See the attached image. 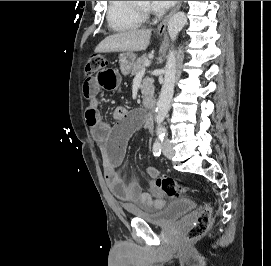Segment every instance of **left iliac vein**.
<instances>
[{
	"label": "left iliac vein",
	"mask_w": 271,
	"mask_h": 266,
	"mask_svg": "<svg viewBox=\"0 0 271 266\" xmlns=\"http://www.w3.org/2000/svg\"><path fill=\"white\" fill-rule=\"evenodd\" d=\"M163 153L168 159H171L174 156L175 152L170 143H166L163 146Z\"/></svg>",
	"instance_id": "obj_1"
}]
</instances>
